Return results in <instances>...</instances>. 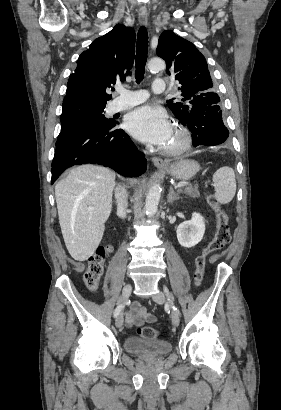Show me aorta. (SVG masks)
Segmentation results:
<instances>
[{"instance_id":"762f6f07","label":"aorta","mask_w":281,"mask_h":410,"mask_svg":"<svg viewBox=\"0 0 281 410\" xmlns=\"http://www.w3.org/2000/svg\"><path fill=\"white\" fill-rule=\"evenodd\" d=\"M165 62L162 59H151L148 63L150 71H162L165 69ZM161 197V187L159 184H154L148 191L145 201V212L148 217L153 216L158 208Z\"/></svg>"}]
</instances>
